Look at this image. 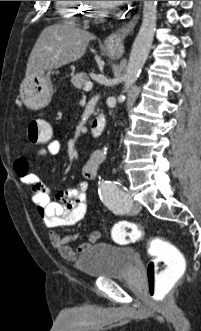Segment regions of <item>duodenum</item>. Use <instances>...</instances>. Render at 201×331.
<instances>
[{"label":"duodenum","mask_w":201,"mask_h":331,"mask_svg":"<svg viewBox=\"0 0 201 331\" xmlns=\"http://www.w3.org/2000/svg\"><path fill=\"white\" fill-rule=\"evenodd\" d=\"M106 126V117L102 113H98L94 116L90 123V130L94 137L101 135Z\"/></svg>","instance_id":"duodenum-1"}]
</instances>
